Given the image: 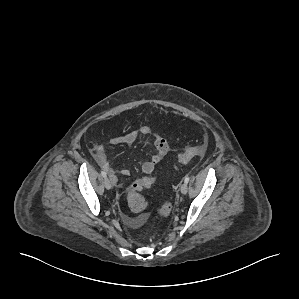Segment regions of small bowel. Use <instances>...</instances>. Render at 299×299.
I'll return each mask as SVG.
<instances>
[{
	"label": "small bowel",
	"instance_id": "1",
	"mask_svg": "<svg viewBox=\"0 0 299 299\" xmlns=\"http://www.w3.org/2000/svg\"><path fill=\"white\" fill-rule=\"evenodd\" d=\"M152 134L155 135L149 127L142 126L124 135L110 138L109 143L111 145L131 144L140 137L152 135ZM154 144L156 149L155 153L150 157V159L143 162V164L141 165V169L145 174H150L154 171L157 164L164 158V156L167 154L169 149L166 140H164L163 138L157 135H155ZM94 158L98 163V165L109 173L111 180L113 182H116L117 181L116 171L110 166L107 155L105 153V149L102 146H97L95 148ZM120 173L125 176H128L130 174L128 169H122L120 170Z\"/></svg>",
	"mask_w": 299,
	"mask_h": 299
}]
</instances>
